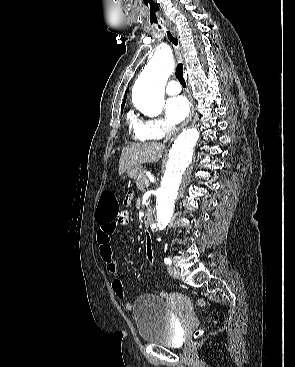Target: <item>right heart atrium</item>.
Returning <instances> with one entry per match:
<instances>
[{
	"label": "right heart atrium",
	"mask_w": 295,
	"mask_h": 367,
	"mask_svg": "<svg viewBox=\"0 0 295 367\" xmlns=\"http://www.w3.org/2000/svg\"><path fill=\"white\" fill-rule=\"evenodd\" d=\"M138 129L148 139H161L174 132V126L161 117L141 121Z\"/></svg>",
	"instance_id": "1"
}]
</instances>
